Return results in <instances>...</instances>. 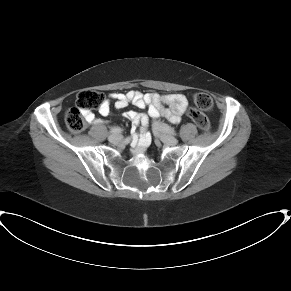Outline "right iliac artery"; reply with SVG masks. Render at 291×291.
Segmentation results:
<instances>
[{
  "label": "right iliac artery",
  "instance_id": "obj_1",
  "mask_svg": "<svg viewBox=\"0 0 291 291\" xmlns=\"http://www.w3.org/2000/svg\"><path fill=\"white\" fill-rule=\"evenodd\" d=\"M111 133H114V134H117V133H121L122 132V129L121 128H112L110 130Z\"/></svg>",
  "mask_w": 291,
  "mask_h": 291
}]
</instances>
